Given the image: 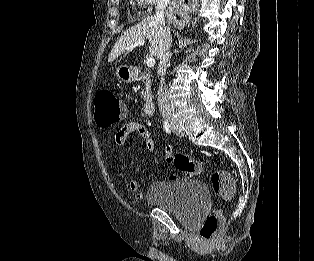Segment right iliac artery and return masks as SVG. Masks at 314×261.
<instances>
[{
  "instance_id": "1",
  "label": "right iliac artery",
  "mask_w": 314,
  "mask_h": 261,
  "mask_svg": "<svg viewBox=\"0 0 314 261\" xmlns=\"http://www.w3.org/2000/svg\"><path fill=\"white\" fill-rule=\"evenodd\" d=\"M164 129L167 133H171L170 124L168 121H164Z\"/></svg>"
}]
</instances>
